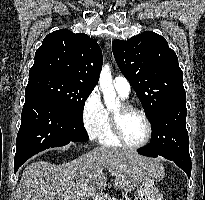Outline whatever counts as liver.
Returning a JSON list of instances; mask_svg holds the SVG:
<instances>
[{"instance_id":"obj_1","label":"liver","mask_w":205,"mask_h":200,"mask_svg":"<svg viewBox=\"0 0 205 200\" xmlns=\"http://www.w3.org/2000/svg\"><path fill=\"white\" fill-rule=\"evenodd\" d=\"M157 159H152L118 149L95 147L78 158L54 165L38 161L28 165L17 186V200H87L78 192L103 191L112 185L116 189L134 190L140 181L163 177V167L158 172ZM112 181V180H111Z\"/></svg>"}]
</instances>
